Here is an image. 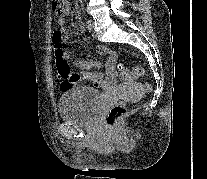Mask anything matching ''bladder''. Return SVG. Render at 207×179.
<instances>
[{"label": "bladder", "instance_id": "31cf9c89", "mask_svg": "<svg viewBox=\"0 0 207 179\" xmlns=\"http://www.w3.org/2000/svg\"><path fill=\"white\" fill-rule=\"evenodd\" d=\"M100 93L90 87L67 89L59 100L60 118L74 126L93 124L100 111Z\"/></svg>", "mask_w": 207, "mask_h": 179}]
</instances>
